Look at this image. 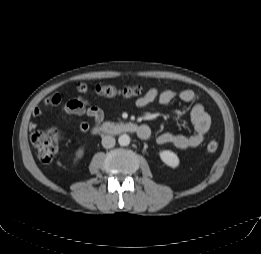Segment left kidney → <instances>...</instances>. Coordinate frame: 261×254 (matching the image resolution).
I'll list each match as a JSON object with an SVG mask.
<instances>
[{
  "instance_id": "left-kidney-1",
  "label": "left kidney",
  "mask_w": 261,
  "mask_h": 254,
  "mask_svg": "<svg viewBox=\"0 0 261 254\" xmlns=\"http://www.w3.org/2000/svg\"><path fill=\"white\" fill-rule=\"evenodd\" d=\"M160 159L169 167L176 168L179 166V158L177 154L169 150H163L159 153Z\"/></svg>"
}]
</instances>
